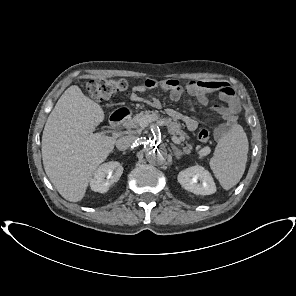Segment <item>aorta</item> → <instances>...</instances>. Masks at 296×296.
<instances>
[{
  "label": "aorta",
  "mask_w": 296,
  "mask_h": 296,
  "mask_svg": "<svg viewBox=\"0 0 296 296\" xmlns=\"http://www.w3.org/2000/svg\"><path fill=\"white\" fill-rule=\"evenodd\" d=\"M143 148L146 159L150 164L162 165L166 162L167 150L163 146L146 141Z\"/></svg>",
  "instance_id": "1"
}]
</instances>
